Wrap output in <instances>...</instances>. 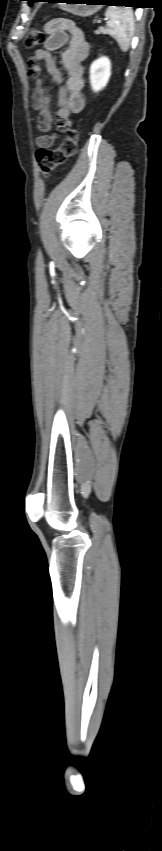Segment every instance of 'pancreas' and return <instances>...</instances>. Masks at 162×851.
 <instances>
[{"label": "pancreas", "instance_id": "1", "mask_svg": "<svg viewBox=\"0 0 162 851\" xmlns=\"http://www.w3.org/2000/svg\"><path fill=\"white\" fill-rule=\"evenodd\" d=\"M95 33H96V34H100V33L105 34V33H106V30H105L103 27H100L98 30H96V31H95Z\"/></svg>", "mask_w": 162, "mask_h": 851}]
</instances>
